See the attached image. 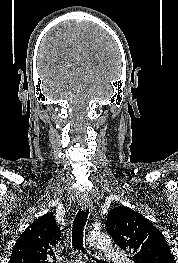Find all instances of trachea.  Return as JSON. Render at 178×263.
<instances>
[{"instance_id":"3493384b","label":"trachea","mask_w":178,"mask_h":263,"mask_svg":"<svg viewBox=\"0 0 178 263\" xmlns=\"http://www.w3.org/2000/svg\"><path fill=\"white\" fill-rule=\"evenodd\" d=\"M88 214L89 209L85 211L79 210L74 219L72 227V247L74 250H82L83 253H85V249L83 247V230L88 218ZM100 263L106 262L101 260Z\"/></svg>"}]
</instances>
